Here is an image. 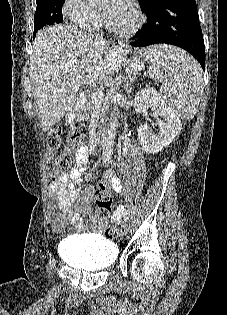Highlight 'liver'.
Returning <instances> with one entry per match:
<instances>
[{"instance_id":"1","label":"liver","mask_w":227,"mask_h":315,"mask_svg":"<svg viewBox=\"0 0 227 315\" xmlns=\"http://www.w3.org/2000/svg\"><path fill=\"white\" fill-rule=\"evenodd\" d=\"M121 60L120 50L111 49L97 36L63 25L39 31L33 43L30 80L42 130L48 131L74 109L90 77L117 71Z\"/></svg>"}]
</instances>
